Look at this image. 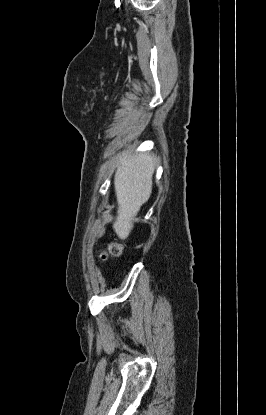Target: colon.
I'll list each match as a JSON object with an SVG mask.
<instances>
[{
  "mask_svg": "<svg viewBox=\"0 0 266 415\" xmlns=\"http://www.w3.org/2000/svg\"><path fill=\"white\" fill-rule=\"evenodd\" d=\"M122 245L119 243H110L100 254L101 259L105 260L109 256H119L122 253Z\"/></svg>",
  "mask_w": 266,
  "mask_h": 415,
  "instance_id": "colon-1",
  "label": "colon"
}]
</instances>
